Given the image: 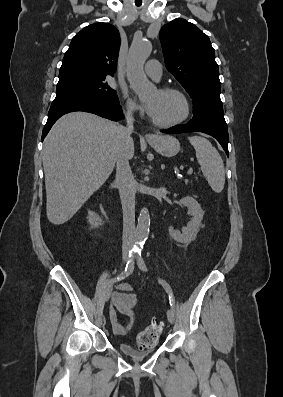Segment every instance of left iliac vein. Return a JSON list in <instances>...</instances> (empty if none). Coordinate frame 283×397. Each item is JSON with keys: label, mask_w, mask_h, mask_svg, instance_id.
Listing matches in <instances>:
<instances>
[{"label": "left iliac vein", "mask_w": 283, "mask_h": 397, "mask_svg": "<svg viewBox=\"0 0 283 397\" xmlns=\"http://www.w3.org/2000/svg\"><path fill=\"white\" fill-rule=\"evenodd\" d=\"M167 319H168V321H169L171 324H173L174 321H175V314H174V312H173L171 309H169V310L167 311Z\"/></svg>", "instance_id": "left-iliac-vein-1"}]
</instances>
